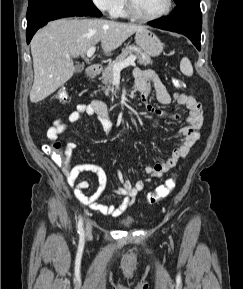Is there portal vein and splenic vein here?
Instances as JSON below:
<instances>
[{
    "label": "portal vein and splenic vein",
    "instance_id": "obj_1",
    "mask_svg": "<svg viewBox=\"0 0 243 289\" xmlns=\"http://www.w3.org/2000/svg\"><path fill=\"white\" fill-rule=\"evenodd\" d=\"M96 51V47L95 46H92L88 49L87 51V57H92L93 54L95 53ZM135 60H136V56L134 55H131L129 56L128 58H126L124 61L120 62V63H117L113 66V72L114 73H120L121 70L125 67H128V66H135Z\"/></svg>",
    "mask_w": 243,
    "mask_h": 289
}]
</instances>
